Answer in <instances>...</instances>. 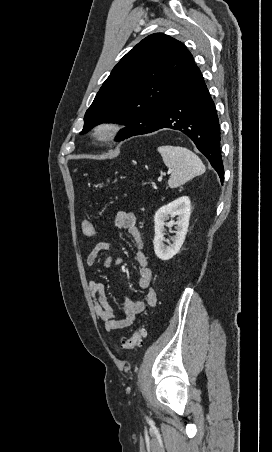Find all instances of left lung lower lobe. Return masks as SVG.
Wrapping results in <instances>:
<instances>
[{
    "mask_svg": "<svg viewBox=\"0 0 272 452\" xmlns=\"http://www.w3.org/2000/svg\"><path fill=\"white\" fill-rule=\"evenodd\" d=\"M162 128L179 130L190 137L223 183L219 120L203 76L194 63L165 102L159 120L153 126L125 135L119 141Z\"/></svg>",
    "mask_w": 272,
    "mask_h": 452,
    "instance_id": "obj_1",
    "label": "left lung lower lobe"
}]
</instances>
